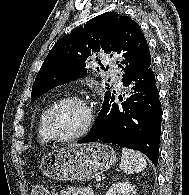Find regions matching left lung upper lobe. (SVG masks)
I'll return each mask as SVG.
<instances>
[{
  "label": "left lung upper lobe",
  "instance_id": "left-lung-upper-lobe-1",
  "mask_svg": "<svg viewBox=\"0 0 189 195\" xmlns=\"http://www.w3.org/2000/svg\"><path fill=\"white\" fill-rule=\"evenodd\" d=\"M100 51L122 60L116 63L124 71L123 80L151 59L147 41L135 21L117 12L103 13L55 43L33 83L31 100L85 76L88 59ZM96 61L100 63L98 58ZM110 97L111 93L105 92L104 102Z\"/></svg>",
  "mask_w": 189,
  "mask_h": 195
}]
</instances>
